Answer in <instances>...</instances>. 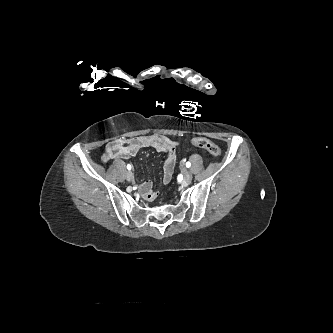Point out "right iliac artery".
<instances>
[{"mask_svg":"<svg viewBox=\"0 0 333 333\" xmlns=\"http://www.w3.org/2000/svg\"><path fill=\"white\" fill-rule=\"evenodd\" d=\"M132 166L130 164L127 165V169L131 170Z\"/></svg>","mask_w":333,"mask_h":333,"instance_id":"right-iliac-artery-1","label":"right iliac artery"}]
</instances>
